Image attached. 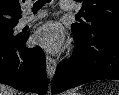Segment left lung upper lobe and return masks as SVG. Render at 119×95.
<instances>
[{
  "label": "left lung upper lobe",
  "mask_w": 119,
  "mask_h": 95,
  "mask_svg": "<svg viewBox=\"0 0 119 95\" xmlns=\"http://www.w3.org/2000/svg\"><path fill=\"white\" fill-rule=\"evenodd\" d=\"M83 2L80 15L84 22L72 24L79 37H90L95 33L119 34V0H76Z\"/></svg>",
  "instance_id": "left-lung-upper-lobe-1"
}]
</instances>
